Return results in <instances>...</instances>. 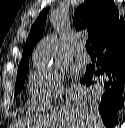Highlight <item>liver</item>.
Here are the masks:
<instances>
[{"label":"liver","mask_w":125,"mask_h":128,"mask_svg":"<svg viewBox=\"0 0 125 128\" xmlns=\"http://www.w3.org/2000/svg\"><path fill=\"white\" fill-rule=\"evenodd\" d=\"M69 95L68 104L54 112L44 125L52 128H102L96 102L99 93L91 88L74 86Z\"/></svg>","instance_id":"1"}]
</instances>
